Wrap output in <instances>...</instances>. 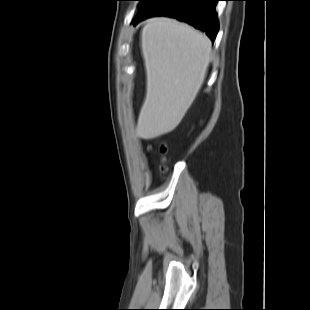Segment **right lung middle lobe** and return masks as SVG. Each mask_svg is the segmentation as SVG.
I'll return each instance as SVG.
<instances>
[{"instance_id": "obj_1", "label": "right lung middle lobe", "mask_w": 310, "mask_h": 310, "mask_svg": "<svg viewBox=\"0 0 310 310\" xmlns=\"http://www.w3.org/2000/svg\"><path fill=\"white\" fill-rule=\"evenodd\" d=\"M141 1V4L139 5V11H143L147 8H149L150 6H152L153 4L159 2L160 0H139Z\"/></svg>"}]
</instances>
